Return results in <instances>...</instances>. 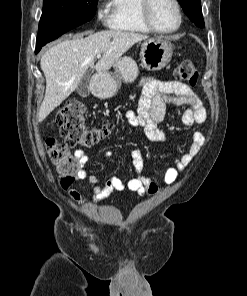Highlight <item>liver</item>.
<instances>
[{
    "label": "liver",
    "mask_w": 247,
    "mask_h": 296,
    "mask_svg": "<svg viewBox=\"0 0 247 296\" xmlns=\"http://www.w3.org/2000/svg\"><path fill=\"white\" fill-rule=\"evenodd\" d=\"M147 35L119 30H107L77 36L51 47L41 58L40 66L46 79L45 97L38 121L42 122L77 88L87 69L107 72L135 43ZM102 54L94 66L95 56Z\"/></svg>",
    "instance_id": "obj_1"
}]
</instances>
